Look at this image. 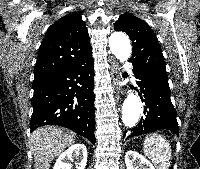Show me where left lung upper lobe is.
Returning <instances> with one entry per match:
<instances>
[{
	"label": "left lung upper lobe",
	"instance_id": "obj_1",
	"mask_svg": "<svg viewBox=\"0 0 200 169\" xmlns=\"http://www.w3.org/2000/svg\"><path fill=\"white\" fill-rule=\"evenodd\" d=\"M115 30L129 35L133 44L130 59L133 66L149 69L158 76L168 78L158 40L145 21L130 13H124L117 20Z\"/></svg>",
	"mask_w": 200,
	"mask_h": 169
}]
</instances>
